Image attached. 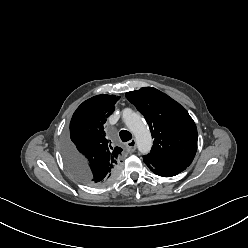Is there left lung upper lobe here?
Instances as JSON below:
<instances>
[{"label":"left lung upper lobe","mask_w":248,"mask_h":248,"mask_svg":"<svg viewBox=\"0 0 248 248\" xmlns=\"http://www.w3.org/2000/svg\"><path fill=\"white\" fill-rule=\"evenodd\" d=\"M125 95L143 114L154 138L144 162L156 169L188 167L197 150V128L185 108L152 87Z\"/></svg>","instance_id":"obj_1"}]
</instances>
